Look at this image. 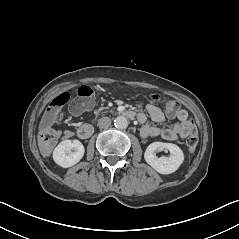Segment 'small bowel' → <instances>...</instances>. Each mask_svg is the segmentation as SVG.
I'll return each mask as SVG.
<instances>
[{
	"label": "small bowel",
	"mask_w": 239,
	"mask_h": 239,
	"mask_svg": "<svg viewBox=\"0 0 239 239\" xmlns=\"http://www.w3.org/2000/svg\"><path fill=\"white\" fill-rule=\"evenodd\" d=\"M145 108L154 123L148 124L146 115L144 113L138 114V121L143 125L141 136L144 138L160 136L163 139L174 141L180 138L184 139L193 131H196L193 121L189 119V115L184 109H179L174 115H167L169 118H176L177 123L171 127L161 128L156 124L165 120L166 116L162 110L153 104H147ZM71 136L72 132L69 130L50 128L47 131L46 140L42 139L39 135V143L43 153L49 155L59 138H69Z\"/></svg>",
	"instance_id": "c3829d8e"
}]
</instances>
